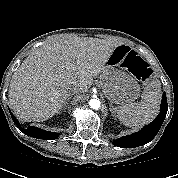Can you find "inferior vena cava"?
<instances>
[{"mask_svg":"<svg viewBox=\"0 0 178 178\" xmlns=\"http://www.w3.org/2000/svg\"><path fill=\"white\" fill-rule=\"evenodd\" d=\"M76 93H78L77 89H73L72 94H76Z\"/></svg>","mask_w":178,"mask_h":178,"instance_id":"obj_1","label":"inferior vena cava"}]
</instances>
